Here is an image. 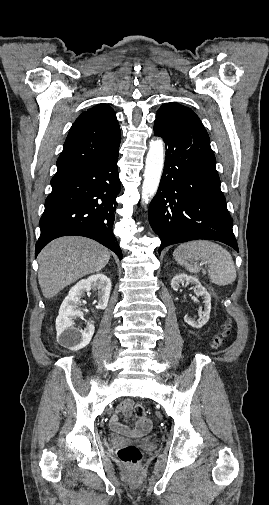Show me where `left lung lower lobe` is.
I'll use <instances>...</instances> for the list:
<instances>
[{"label":"left lung lower lobe","instance_id":"1","mask_svg":"<svg viewBox=\"0 0 269 505\" xmlns=\"http://www.w3.org/2000/svg\"><path fill=\"white\" fill-rule=\"evenodd\" d=\"M154 134L167 150L149 221L166 246L196 239L223 242L238 251L232 219L220 189L216 159L201 122L156 117Z\"/></svg>","mask_w":269,"mask_h":505}]
</instances>
